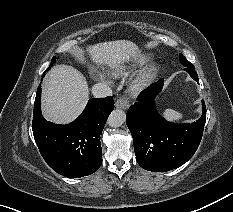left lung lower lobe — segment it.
<instances>
[{
    "label": "left lung lower lobe",
    "instance_id": "obj_1",
    "mask_svg": "<svg viewBox=\"0 0 233 212\" xmlns=\"http://www.w3.org/2000/svg\"><path fill=\"white\" fill-rule=\"evenodd\" d=\"M190 76L199 83L194 69L187 68ZM163 79L150 86L130 106L126 123L132 134L138 164L149 171L164 172L186 163L197 150L206 121L203 114L191 124H174L162 118L154 99L163 87Z\"/></svg>",
    "mask_w": 233,
    "mask_h": 212
}]
</instances>
